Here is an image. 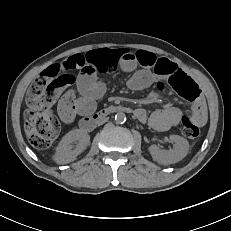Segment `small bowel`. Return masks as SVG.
Listing matches in <instances>:
<instances>
[{
	"label": "small bowel",
	"instance_id": "small-bowel-1",
	"mask_svg": "<svg viewBox=\"0 0 231 231\" xmlns=\"http://www.w3.org/2000/svg\"><path fill=\"white\" fill-rule=\"evenodd\" d=\"M67 72H77L75 79L77 97L72 91L63 94L58 100V113L64 123H71L77 114H89L94 110L95 99L104 92V86L99 82L98 76L102 73L122 69L133 72L128 81L132 90H142L148 87L155 77L163 80L175 74L184 73L174 62L165 57H157L154 53L139 50L133 52L125 48L97 49L85 54H77L60 62ZM137 67L140 69L136 70ZM137 119L148 123L157 131H166L179 124L183 118L182 111L173 106H167L154 111L150 116L144 109H136ZM197 125L206 122L205 102L200 96L193 101L190 107V117Z\"/></svg>",
	"mask_w": 231,
	"mask_h": 231
}]
</instances>
